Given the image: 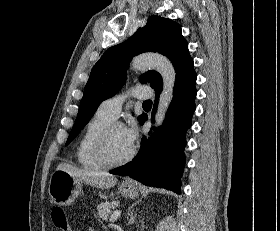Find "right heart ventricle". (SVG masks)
I'll use <instances>...</instances> for the list:
<instances>
[{"instance_id":"e07e8e85","label":"right heart ventricle","mask_w":280,"mask_h":231,"mask_svg":"<svg viewBox=\"0 0 280 231\" xmlns=\"http://www.w3.org/2000/svg\"><path fill=\"white\" fill-rule=\"evenodd\" d=\"M107 115L96 112L87 122L81 136L75 145V159L79 167L84 170H101L105 166L95 159L93 147L102 129L112 122Z\"/></svg>"}]
</instances>
